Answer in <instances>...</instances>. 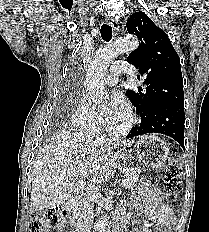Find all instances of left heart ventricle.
<instances>
[{
    "label": "left heart ventricle",
    "instance_id": "b2bd125f",
    "mask_svg": "<svg viewBox=\"0 0 209 232\" xmlns=\"http://www.w3.org/2000/svg\"><path fill=\"white\" fill-rule=\"evenodd\" d=\"M126 120H127V117H126L125 119H123V120H121V121L117 122L115 125L122 124V123H124Z\"/></svg>",
    "mask_w": 209,
    "mask_h": 232
}]
</instances>
